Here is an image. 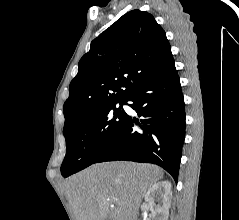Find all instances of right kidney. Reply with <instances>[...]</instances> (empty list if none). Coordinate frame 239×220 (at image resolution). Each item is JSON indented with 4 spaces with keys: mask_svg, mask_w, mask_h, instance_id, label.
Here are the masks:
<instances>
[{
    "mask_svg": "<svg viewBox=\"0 0 239 220\" xmlns=\"http://www.w3.org/2000/svg\"><path fill=\"white\" fill-rule=\"evenodd\" d=\"M171 189L172 185L169 181H160L153 184L145 193L144 199L151 212V220H168Z\"/></svg>",
    "mask_w": 239,
    "mask_h": 220,
    "instance_id": "obj_1",
    "label": "right kidney"
}]
</instances>
